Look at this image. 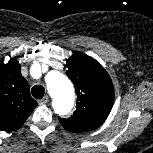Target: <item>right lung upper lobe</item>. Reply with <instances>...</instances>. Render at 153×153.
<instances>
[{
	"label": "right lung upper lobe",
	"instance_id": "1",
	"mask_svg": "<svg viewBox=\"0 0 153 153\" xmlns=\"http://www.w3.org/2000/svg\"><path fill=\"white\" fill-rule=\"evenodd\" d=\"M36 106L29 84L21 75L19 62L14 58L7 64L0 61V130L18 129Z\"/></svg>",
	"mask_w": 153,
	"mask_h": 153
}]
</instances>
